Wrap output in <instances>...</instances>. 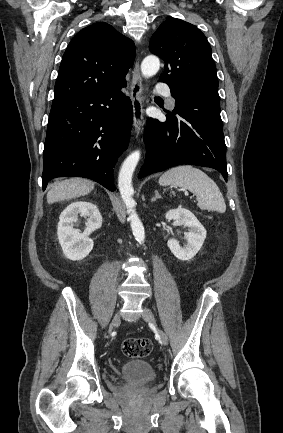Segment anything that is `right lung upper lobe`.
Listing matches in <instances>:
<instances>
[{
    "label": "right lung upper lobe",
    "instance_id": "cb5924a9",
    "mask_svg": "<svg viewBox=\"0 0 283 433\" xmlns=\"http://www.w3.org/2000/svg\"><path fill=\"white\" fill-rule=\"evenodd\" d=\"M135 53L132 40L108 23L98 22L82 29L63 55L53 103L120 86Z\"/></svg>",
    "mask_w": 283,
    "mask_h": 433
}]
</instances>
